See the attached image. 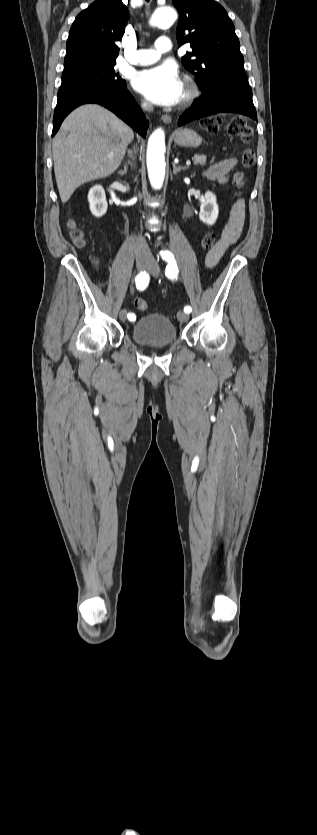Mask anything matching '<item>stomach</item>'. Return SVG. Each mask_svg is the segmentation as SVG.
Segmentation results:
<instances>
[{
	"label": "stomach",
	"mask_w": 317,
	"mask_h": 835,
	"mask_svg": "<svg viewBox=\"0 0 317 835\" xmlns=\"http://www.w3.org/2000/svg\"><path fill=\"white\" fill-rule=\"evenodd\" d=\"M174 141H175V144H177L181 147L195 148V147H198L202 143V138L194 130L189 129V128H184V129H179L176 132H174Z\"/></svg>",
	"instance_id": "1"
}]
</instances>
